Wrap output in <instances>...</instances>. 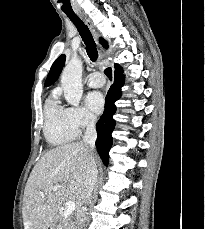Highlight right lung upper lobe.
I'll return each mask as SVG.
<instances>
[{"label":"right lung upper lobe","instance_id":"1","mask_svg":"<svg viewBox=\"0 0 205 229\" xmlns=\"http://www.w3.org/2000/svg\"><path fill=\"white\" fill-rule=\"evenodd\" d=\"M100 43L103 44L104 47H107V45L105 44V41L103 39L100 40ZM64 64H65V55H60L58 57V59L53 63V65L49 71V74H48L46 82H45V86H49L57 80ZM116 65H118V64H116Z\"/></svg>","mask_w":205,"mask_h":229}]
</instances>
